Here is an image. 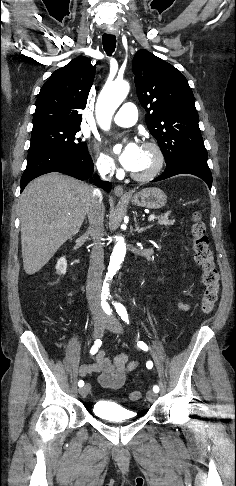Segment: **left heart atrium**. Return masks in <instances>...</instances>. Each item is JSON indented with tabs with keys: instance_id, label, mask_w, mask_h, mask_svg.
<instances>
[{
	"instance_id": "left-heart-atrium-1",
	"label": "left heart atrium",
	"mask_w": 236,
	"mask_h": 486,
	"mask_svg": "<svg viewBox=\"0 0 236 486\" xmlns=\"http://www.w3.org/2000/svg\"><path fill=\"white\" fill-rule=\"evenodd\" d=\"M140 152L141 147L136 142L130 141L124 145L119 161L125 169L133 171L137 165Z\"/></svg>"
}]
</instances>
